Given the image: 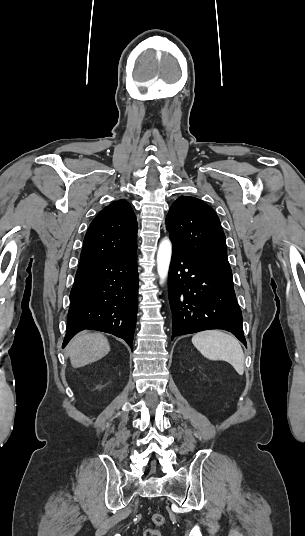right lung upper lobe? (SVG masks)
<instances>
[{
    "label": "right lung upper lobe",
    "mask_w": 305,
    "mask_h": 536,
    "mask_svg": "<svg viewBox=\"0 0 305 536\" xmlns=\"http://www.w3.org/2000/svg\"><path fill=\"white\" fill-rule=\"evenodd\" d=\"M137 220L125 200L116 201L99 212L85 235L79 266L136 251Z\"/></svg>",
    "instance_id": "cb5924a9"
}]
</instances>
